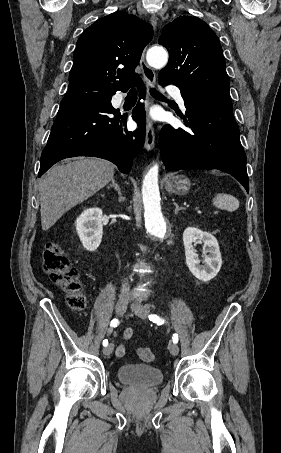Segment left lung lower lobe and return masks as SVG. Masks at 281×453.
<instances>
[{"label":"left lung lower lobe","mask_w":281,"mask_h":453,"mask_svg":"<svg viewBox=\"0 0 281 453\" xmlns=\"http://www.w3.org/2000/svg\"><path fill=\"white\" fill-rule=\"evenodd\" d=\"M161 85L171 82L160 80ZM185 125H165L160 148L166 170L218 169L231 174L249 192L246 155L230 99H184Z\"/></svg>","instance_id":"1"}]
</instances>
